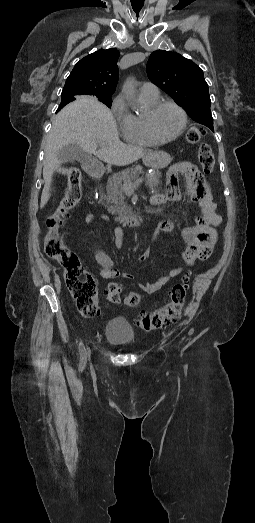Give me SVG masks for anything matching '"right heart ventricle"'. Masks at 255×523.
<instances>
[{
  "label": "right heart ventricle",
  "instance_id": "obj_1",
  "mask_svg": "<svg viewBox=\"0 0 255 523\" xmlns=\"http://www.w3.org/2000/svg\"><path fill=\"white\" fill-rule=\"evenodd\" d=\"M140 97L147 109L159 101V96L140 94ZM144 116L125 109L124 114L118 118L122 137L127 143L135 146H150L155 143L145 130Z\"/></svg>",
  "mask_w": 255,
  "mask_h": 523
}]
</instances>
